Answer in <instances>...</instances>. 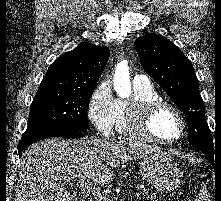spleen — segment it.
<instances>
[{
  "mask_svg": "<svg viewBox=\"0 0 221 201\" xmlns=\"http://www.w3.org/2000/svg\"><path fill=\"white\" fill-rule=\"evenodd\" d=\"M195 201H210L209 194H208L206 186L204 184H202L201 190H200L198 197L196 198Z\"/></svg>",
  "mask_w": 221,
  "mask_h": 201,
  "instance_id": "3e777b00",
  "label": "spleen"
}]
</instances>
